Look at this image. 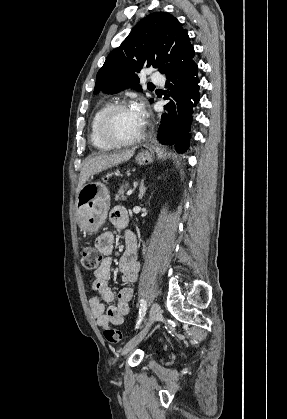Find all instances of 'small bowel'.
Listing matches in <instances>:
<instances>
[{"instance_id": "c3829d8e", "label": "small bowel", "mask_w": 287, "mask_h": 419, "mask_svg": "<svg viewBox=\"0 0 287 419\" xmlns=\"http://www.w3.org/2000/svg\"><path fill=\"white\" fill-rule=\"evenodd\" d=\"M110 221L115 228L124 229L128 226L129 216L124 207L116 206L110 213ZM114 235L112 232H104L95 240V247L105 256V259L94 273L92 288L98 293L93 297L89 306L91 313L99 327L107 329L111 324L120 325L123 319L130 312V301L133 296V289L129 286L123 287L117 294L116 304L105 306L104 303H111L114 300V292L108 286L111 277V258ZM138 244L135 234L132 231L125 233V247L119 260V269L122 281L133 283L139 273Z\"/></svg>"}]
</instances>
